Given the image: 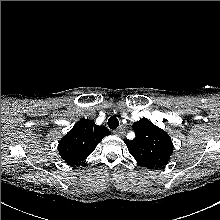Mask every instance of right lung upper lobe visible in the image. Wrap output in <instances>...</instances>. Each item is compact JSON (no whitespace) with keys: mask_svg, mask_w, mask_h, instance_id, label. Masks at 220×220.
Wrapping results in <instances>:
<instances>
[{"mask_svg":"<svg viewBox=\"0 0 220 220\" xmlns=\"http://www.w3.org/2000/svg\"><path fill=\"white\" fill-rule=\"evenodd\" d=\"M110 134L106 127L82 119L59 141V154L68 164H77L86 159L97 144Z\"/></svg>","mask_w":220,"mask_h":220,"instance_id":"right-lung-upper-lobe-1","label":"right lung upper lobe"}]
</instances>
